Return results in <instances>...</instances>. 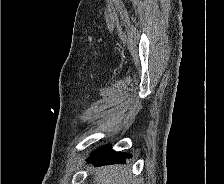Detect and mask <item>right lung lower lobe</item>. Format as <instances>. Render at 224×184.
<instances>
[{"label": "right lung lower lobe", "instance_id": "1", "mask_svg": "<svg viewBox=\"0 0 224 184\" xmlns=\"http://www.w3.org/2000/svg\"><path fill=\"white\" fill-rule=\"evenodd\" d=\"M130 157V154L115 152L109 145H105L93 151L87 162L95 165L124 164L126 158Z\"/></svg>", "mask_w": 224, "mask_h": 184}]
</instances>
